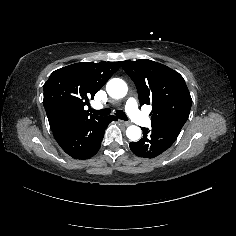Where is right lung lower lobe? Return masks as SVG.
Here are the masks:
<instances>
[{
    "instance_id": "98d812e1",
    "label": "right lung lower lobe",
    "mask_w": 236,
    "mask_h": 236,
    "mask_svg": "<svg viewBox=\"0 0 236 236\" xmlns=\"http://www.w3.org/2000/svg\"><path fill=\"white\" fill-rule=\"evenodd\" d=\"M116 120L117 118L113 115L97 116L66 123L52 131L59 146L69 156L76 159H88L98 152L108 124Z\"/></svg>"
}]
</instances>
